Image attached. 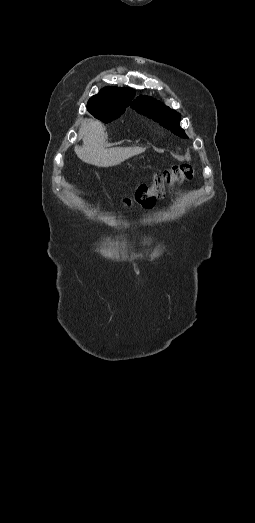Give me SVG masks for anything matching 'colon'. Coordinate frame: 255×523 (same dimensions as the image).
<instances>
[{"mask_svg": "<svg viewBox=\"0 0 255 523\" xmlns=\"http://www.w3.org/2000/svg\"><path fill=\"white\" fill-rule=\"evenodd\" d=\"M194 175V168L188 164L173 166L169 170L154 176L151 183L140 184L132 197L123 200L124 206L138 204L144 208L154 205L157 198L164 196L167 188L190 180Z\"/></svg>", "mask_w": 255, "mask_h": 523, "instance_id": "colon-1", "label": "colon"}]
</instances>
